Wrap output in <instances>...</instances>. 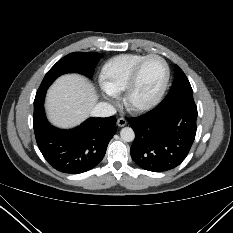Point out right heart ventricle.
I'll list each match as a JSON object with an SVG mask.
<instances>
[{"label": "right heart ventricle", "instance_id": "obj_1", "mask_svg": "<svg viewBox=\"0 0 233 233\" xmlns=\"http://www.w3.org/2000/svg\"><path fill=\"white\" fill-rule=\"evenodd\" d=\"M142 54H122L109 59L101 69L99 83L111 95L122 93L137 63L144 58Z\"/></svg>", "mask_w": 233, "mask_h": 233}]
</instances>
